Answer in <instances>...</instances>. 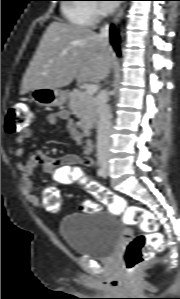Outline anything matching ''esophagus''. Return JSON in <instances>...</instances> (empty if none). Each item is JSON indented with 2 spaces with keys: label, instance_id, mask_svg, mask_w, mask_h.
Listing matches in <instances>:
<instances>
[{
  "label": "esophagus",
  "instance_id": "esophagus-1",
  "mask_svg": "<svg viewBox=\"0 0 180 299\" xmlns=\"http://www.w3.org/2000/svg\"><path fill=\"white\" fill-rule=\"evenodd\" d=\"M124 9H125V5H121L120 8L118 9L117 13L115 14L112 23L113 24H118L123 16L124 13Z\"/></svg>",
  "mask_w": 180,
  "mask_h": 299
}]
</instances>
